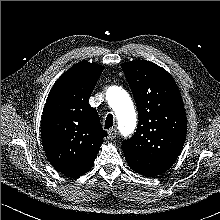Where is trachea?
I'll use <instances>...</instances> for the list:
<instances>
[{
  "label": "trachea",
  "instance_id": "1",
  "mask_svg": "<svg viewBox=\"0 0 220 220\" xmlns=\"http://www.w3.org/2000/svg\"><path fill=\"white\" fill-rule=\"evenodd\" d=\"M114 125V120H113V115L112 114H108L105 120V125L104 128L105 129H109Z\"/></svg>",
  "mask_w": 220,
  "mask_h": 220
}]
</instances>
